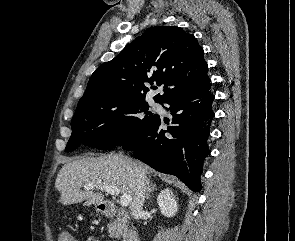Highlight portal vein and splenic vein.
Here are the masks:
<instances>
[{
    "instance_id": "obj_1",
    "label": "portal vein and splenic vein",
    "mask_w": 295,
    "mask_h": 241,
    "mask_svg": "<svg viewBox=\"0 0 295 241\" xmlns=\"http://www.w3.org/2000/svg\"><path fill=\"white\" fill-rule=\"evenodd\" d=\"M95 185L93 184H88L85 185V190H89L94 188ZM97 188H99L100 190H104L106 193L111 194V195H118L120 193V189L116 186H96ZM132 201V196L131 195H122L120 197V205L122 207H126L128 206Z\"/></svg>"
}]
</instances>
